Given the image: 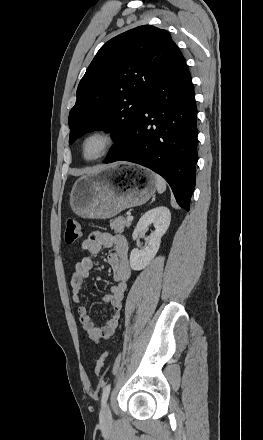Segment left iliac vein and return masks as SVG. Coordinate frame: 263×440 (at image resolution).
Here are the masks:
<instances>
[{"mask_svg":"<svg viewBox=\"0 0 263 440\" xmlns=\"http://www.w3.org/2000/svg\"><path fill=\"white\" fill-rule=\"evenodd\" d=\"M100 420L102 423H108L111 421V410H110L109 403L107 401L102 406L101 413H100Z\"/></svg>","mask_w":263,"mask_h":440,"instance_id":"obj_1","label":"left iliac vein"}]
</instances>
